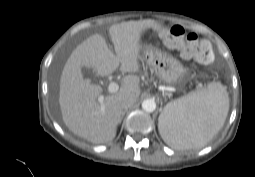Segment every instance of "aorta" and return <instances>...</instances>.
Listing matches in <instances>:
<instances>
[{
  "instance_id": "1",
  "label": "aorta",
  "mask_w": 255,
  "mask_h": 177,
  "mask_svg": "<svg viewBox=\"0 0 255 177\" xmlns=\"http://www.w3.org/2000/svg\"><path fill=\"white\" fill-rule=\"evenodd\" d=\"M142 108L146 112H154L156 109V103L153 99H146L142 103Z\"/></svg>"
}]
</instances>
